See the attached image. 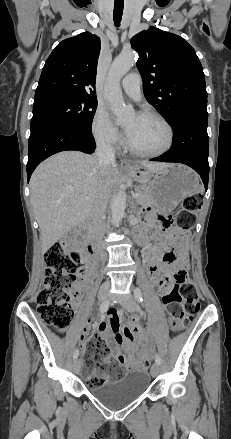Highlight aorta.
<instances>
[{"label": "aorta", "mask_w": 231, "mask_h": 439, "mask_svg": "<svg viewBox=\"0 0 231 439\" xmlns=\"http://www.w3.org/2000/svg\"><path fill=\"white\" fill-rule=\"evenodd\" d=\"M136 54L134 51H128L120 54L112 63L105 85V96L110 104L111 111L116 116L118 122H125L134 114L131 106L124 102L120 88L121 78L135 64ZM112 223L119 226L126 209V192L120 190L113 197L111 205Z\"/></svg>", "instance_id": "obj_1"}]
</instances>
